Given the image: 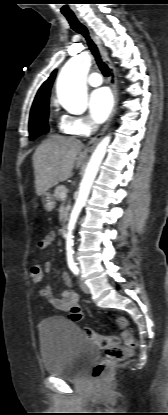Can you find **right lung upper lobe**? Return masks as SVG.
Returning <instances> with one entry per match:
<instances>
[{
    "label": "right lung upper lobe",
    "mask_w": 168,
    "mask_h": 415,
    "mask_svg": "<svg viewBox=\"0 0 168 415\" xmlns=\"http://www.w3.org/2000/svg\"><path fill=\"white\" fill-rule=\"evenodd\" d=\"M56 75V70L53 71L50 77L42 84L34 99L31 111L44 107L49 104L50 90Z\"/></svg>",
    "instance_id": "1"
}]
</instances>
